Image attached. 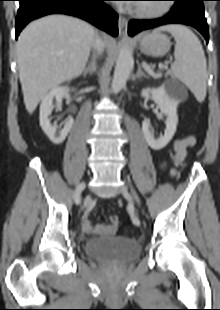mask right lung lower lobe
Segmentation results:
<instances>
[{"label": "right lung lower lobe", "mask_w": 220, "mask_h": 310, "mask_svg": "<svg viewBox=\"0 0 220 310\" xmlns=\"http://www.w3.org/2000/svg\"><path fill=\"white\" fill-rule=\"evenodd\" d=\"M16 18V38L22 29L39 17L61 13L82 18L112 36L118 34L117 14L105 0H19Z\"/></svg>", "instance_id": "1"}]
</instances>
